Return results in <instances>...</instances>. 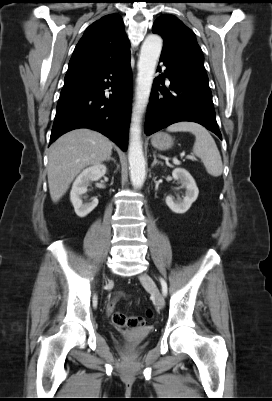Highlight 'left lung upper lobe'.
<instances>
[{
    "instance_id": "1",
    "label": "left lung upper lobe",
    "mask_w": 272,
    "mask_h": 401,
    "mask_svg": "<svg viewBox=\"0 0 272 401\" xmlns=\"http://www.w3.org/2000/svg\"><path fill=\"white\" fill-rule=\"evenodd\" d=\"M152 32L163 37L161 56L168 57L201 72H206L204 56L195 34L173 15H162L154 22Z\"/></svg>"
}]
</instances>
